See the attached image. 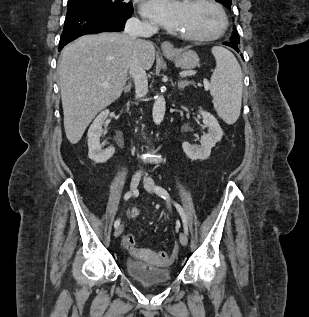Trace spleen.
I'll return each instance as SVG.
<instances>
[{"instance_id": "3e777b00", "label": "spleen", "mask_w": 309, "mask_h": 317, "mask_svg": "<svg viewBox=\"0 0 309 317\" xmlns=\"http://www.w3.org/2000/svg\"><path fill=\"white\" fill-rule=\"evenodd\" d=\"M212 54L216 68L210 82V94L217 114L227 123L237 121L241 111L243 74L235 56L226 48L215 46Z\"/></svg>"}]
</instances>
